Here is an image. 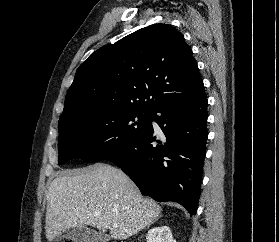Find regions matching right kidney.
<instances>
[{
	"label": "right kidney",
	"mask_w": 279,
	"mask_h": 242,
	"mask_svg": "<svg viewBox=\"0 0 279 242\" xmlns=\"http://www.w3.org/2000/svg\"><path fill=\"white\" fill-rule=\"evenodd\" d=\"M147 242H176L173 239L168 226H157L151 228L146 236Z\"/></svg>",
	"instance_id": "right-kidney-1"
}]
</instances>
